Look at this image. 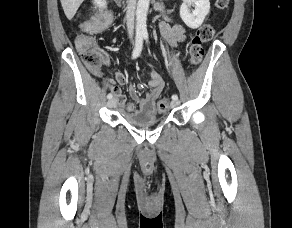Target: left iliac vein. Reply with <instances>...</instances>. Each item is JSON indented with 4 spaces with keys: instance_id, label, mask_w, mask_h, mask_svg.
<instances>
[{
    "instance_id": "4c4485c4",
    "label": "left iliac vein",
    "mask_w": 292,
    "mask_h": 228,
    "mask_svg": "<svg viewBox=\"0 0 292 228\" xmlns=\"http://www.w3.org/2000/svg\"><path fill=\"white\" fill-rule=\"evenodd\" d=\"M178 105H179L178 100H172V102H171L172 107H177Z\"/></svg>"
}]
</instances>
